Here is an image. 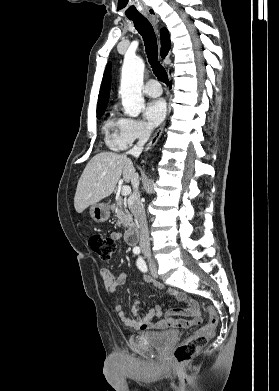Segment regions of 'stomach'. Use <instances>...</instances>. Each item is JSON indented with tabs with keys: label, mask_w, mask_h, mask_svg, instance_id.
<instances>
[{
	"label": "stomach",
	"mask_w": 279,
	"mask_h": 391,
	"mask_svg": "<svg viewBox=\"0 0 279 391\" xmlns=\"http://www.w3.org/2000/svg\"><path fill=\"white\" fill-rule=\"evenodd\" d=\"M90 215L97 223L105 222L110 216L109 207L104 203L94 204L90 207Z\"/></svg>",
	"instance_id": "obj_1"
}]
</instances>
